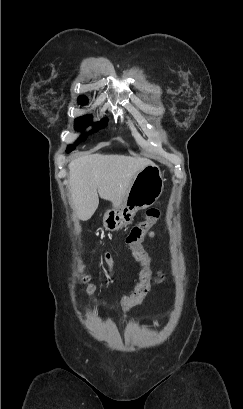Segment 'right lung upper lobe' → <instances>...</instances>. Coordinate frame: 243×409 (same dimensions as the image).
Segmentation results:
<instances>
[{
  "label": "right lung upper lobe",
  "instance_id": "cb5924a9",
  "mask_svg": "<svg viewBox=\"0 0 243 409\" xmlns=\"http://www.w3.org/2000/svg\"><path fill=\"white\" fill-rule=\"evenodd\" d=\"M78 102H79L80 104H84V103L87 102V99H86V97L80 96V97L78 98Z\"/></svg>",
  "mask_w": 243,
  "mask_h": 409
}]
</instances>
